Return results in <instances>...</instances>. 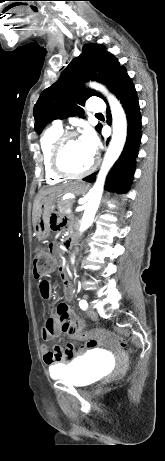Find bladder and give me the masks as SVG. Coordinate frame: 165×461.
Wrapping results in <instances>:
<instances>
[{
  "instance_id": "1",
  "label": "bladder",
  "mask_w": 165,
  "mask_h": 461,
  "mask_svg": "<svg viewBox=\"0 0 165 461\" xmlns=\"http://www.w3.org/2000/svg\"><path fill=\"white\" fill-rule=\"evenodd\" d=\"M56 378L69 382L76 387H86L106 373L104 362L99 355L87 354L76 358L66 365L56 368Z\"/></svg>"
}]
</instances>
